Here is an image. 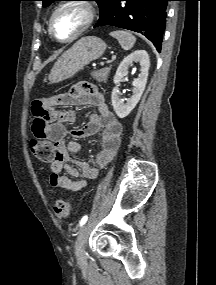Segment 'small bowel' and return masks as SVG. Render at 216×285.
I'll return each mask as SVG.
<instances>
[{
	"mask_svg": "<svg viewBox=\"0 0 216 285\" xmlns=\"http://www.w3.org/2000/svg\"><path fill=\"white\" fill-rule=\"evenodd\" d=\"M56 103L92 105L97 108V112L89 115L83 127L68 131L67 125L76 118L73 110L56 112L40 101L32 106V133L34 136H45L46 141L55 143L56 156L50 165L51 186L68 192H79L87 186L88 180L98 176L99 168L105 167L113 159L121 143L122 124L107 106L104 94L88 82L76 84L69 92L57 97ZM68 134L75 138L101 135L100 150L95 156L96 166L88 161L72 158L73 154L81 150V145L76 141H66Z\"/></svg>",
	"mask_w": 216,
	"mask_h": 285,
	"instance_id": "1",
	"label": "small bowel"
}]
</instances>
